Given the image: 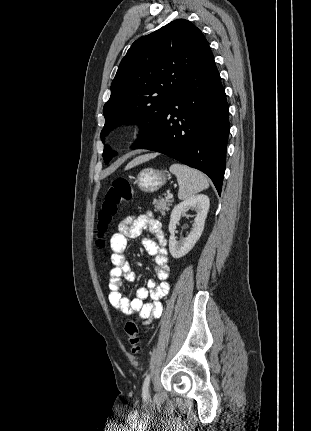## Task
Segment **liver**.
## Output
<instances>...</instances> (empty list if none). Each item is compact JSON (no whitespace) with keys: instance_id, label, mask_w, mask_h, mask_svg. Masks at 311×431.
Listing matches in <instances>:
<instances>
[{"instance_id":"obj_1","label":"liver","mask_w":311,"mask_h":431,"mask_svg":"<svg viewBox=\"0 0 311 431\" xmlns=\"http://www.w3.org/2000/svg\"><path fill=\"white\" fill-rule=\"evenodd\" d=\"M147 160V156H138V158H134L132 162H129V164H127L125 170H130V168H134V166H139V164H143V162H147Z\"/></svg>"}]
</instances>
